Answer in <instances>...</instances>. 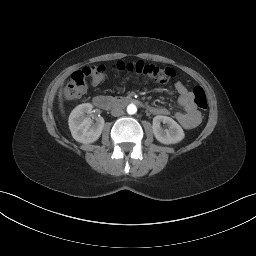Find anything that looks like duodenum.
Segmentation results:
<instances>
[{"label": "duodenum", "instance_id": "duodenum-1", "mask_svg": "<svg viewBox=\"0 0 256 256\" xmlns=\"http://www.w3.org/2000/svg\"><path fill=\"white\" fill-rule=\"evenodd\" d=\"M94 104L101 109H110L115 105L141 104L140 100L133 97H126L121 99H111L104 95H97L93 99Z\"/></svg>", "mask_w": 256, "mask_h": 256}]
</instances>
